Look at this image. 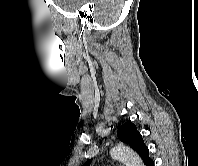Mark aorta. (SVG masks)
Wrapping results in <instances>:
<instances>
[{"instance_id": "aorta-1", "label": "aorta", "mask_w": 198, "mask_h": 166, "mask_svg": "<svg viewBox=\"0 0 198 166\" xmlns=\"http://www.w3.org/2000/svg\"><path fill=\"white\" fill-rule=\"evenodd\" d=\"M110 154L113 159L124 162L126 166H144V163L139 155L129 147H113Z\"/></svg>"}]
</instances>
